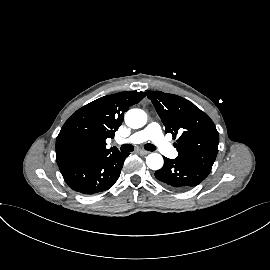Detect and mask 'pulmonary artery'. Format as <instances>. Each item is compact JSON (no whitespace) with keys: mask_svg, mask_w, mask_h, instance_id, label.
Segmentation results:
<instances>
[{"mask_svg":"<svg viewBox=\"0 0 270 270\" xmlns=\"http://www.w3.org/2000/svg\"><path fill=\"white\" fill-rule=\"evenodd\" d=\"M147 140H151L165 156L170 158L176 157L177 152L175 148L165 139L160 125L156 122L148 124L143 130L134 133L125 140L121 139L120 142L137 144Z\"/></svg>","mask_w":270,"mask_h":270,"instance_id":"pulmonary-artery-1","label":"pulmonary artery"}]
</instances>
